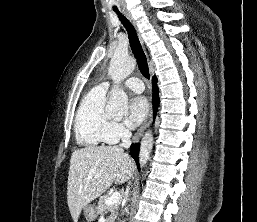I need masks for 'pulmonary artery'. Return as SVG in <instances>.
Returning <instances> with one entry per match:
<instances>
[{
  "mask_svg": "<svg viewBox=\"0 0 257 222\" xmlns=\"http://www.w3.org/2000/svg\"><path fill=\"white\" fill-rule=\"evenodd\" d=\"M124 84L127 88H129L134 92L141 93L144 91V85L142 81L138 78H134V77L128 78ZM109 86L110 84L108 82H104L101 84V87H103L104 89H108Z\"/></svg>",
  "mask_w": 257,
  "mask_h": 222,
  "instance_id": "e3ab8cb5",
  "label": "pulmonary artery"
}]
</instances>
